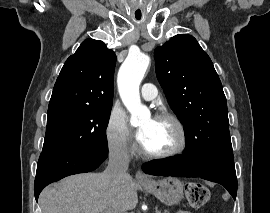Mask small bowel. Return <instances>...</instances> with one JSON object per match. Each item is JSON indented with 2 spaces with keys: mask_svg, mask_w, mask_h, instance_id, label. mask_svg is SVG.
Wrapping results in <instances>:
<instances>
[{
  "mask_svg": "<svg viewBox=\"0 0 270 213\" xmlns=\"http://www.w3.org/2000/svg\"><path fill=\"white\" fill-rule=\"evenodd\" d=\"M177 213H191V212L181 210V211H179V212H177Z\"/></svg>",
  "mask_w": 270,
  "mask_h": 213,
  "instance_id": "obj_1",
  "label": "small bowel"
}]
</instances>
